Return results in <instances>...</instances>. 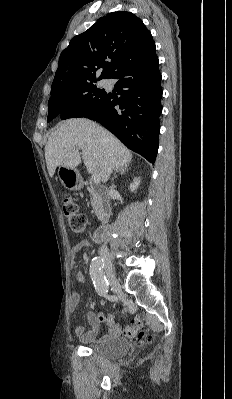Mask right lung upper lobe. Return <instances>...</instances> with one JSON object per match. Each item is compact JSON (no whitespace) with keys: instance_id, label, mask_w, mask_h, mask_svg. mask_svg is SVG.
Listing matches in <instances>:
<instances>
[{"instance_id":"obj_1","label":"right lung upper lobe","mask_w":232,"mask_h":399,"mask_svg":"<svg viewBox=\"0 0 232 399\" xmlns=\"http://www.w3.org/2000/svg\"><path fill=\"white\" fill-rule=\"evenodd\" d=\"M153 52L155 42L140 18L126 11L109 13L72 38L62 51L51 95L96 81V73H100L99 79H110L118 70Z\"/></svg>"}]
</instances>
